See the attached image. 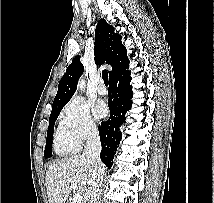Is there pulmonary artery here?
<instances>
[{"instance_id": "pulmonary-artery-1", "label": "pulmonary artery", "mask_w": 214, "mask_h": 203, "mask_svg": "<svg viewBox=\"0 0 214 203\" xmlns=\"http://www.w3.org/2000/svg\"><path fill=\"white\" fill-rule=\"evenodd\" d=\"M97 92L100 95H104L107 92L106 87H105V85H104V83L102 81H100V83L97 86Z\"/></svg>"}]
</instances>
